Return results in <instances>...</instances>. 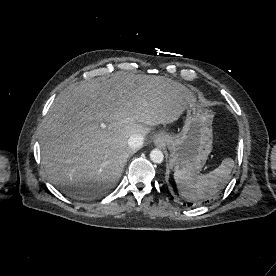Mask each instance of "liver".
Returning a JSON list of instances; mask_svg holds the SVG:
<instances>
[{"mask_svg": "<svg viewBox=\"0 0 276 276\" xmlns=\"http://www.w3.org/2000/svg\"><path fill=\"white\" fill-rule=\"evenodd\" d=\"M195 102L185 85L155 75L116 73L67 87L41 127L48 180L75 199L103 195L122 175L129 137L177 121Z\"/></svg>", "mask_w": 276, "mask_h": 276, "instance_id": "1", "label": "liver"}]
</instances>
